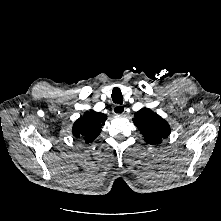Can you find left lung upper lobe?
<instances>
[{
    "label": "left lung upper lobe",
    "mask_w": 221,
    "mask_h": 221,
    "mask_svg": "<svg viewBox=\"0 0 221 221\" xmlns=\"http://www.w3.org/2000/svg\"><path fill=\"white\" fill-rule=\"evenodd\" d=\"M133 122L149 144H158L170 134V126L163 118L148 108L135 113Z\"/></svg>",
    "instance_id": "left-lung-upper-lobe-1"
}]
</instances>
